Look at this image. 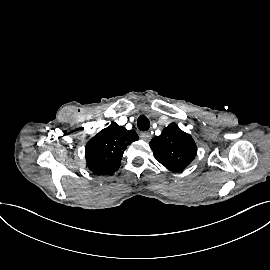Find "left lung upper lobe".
Segmentation results:
<instances>
[{
  "mask_svg": "<svg viewBox=\"0 0 270 270\" xmlns=\"http://www.w3.org/2000/svg\"><path fill=\"white\" fill-rule=\"evenodd\" d=\"M150 147L156 160L173 172L183 170L197 154L193 138L175 123L164 128L160 136L154 137Z\"/></svg>",
  "mask_w": 270,
  "mask_h": 270,
  "instance_id": "obj_1",
  "label": "left lung upper lobe"
}]
</instances>
